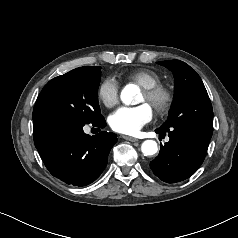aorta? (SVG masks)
<instances>
[{"instance_id":"1","label":"aorta","mask_w":238,"mask_h":238,"mask_svg":"<svg viewBox=\"0 0 238 238\" xmlns=\"http://www.w3.org/2000/svg\"><path fill=\"white\" fill-rule=\"evenodd\" d=\"M137 93L138 90L134 85H127L121 91V101L126 105L132 104ZM141 151L145 156H152L157 153L158 145L154 140H145L141 145Z\"/></svg>"}]
</instances>
